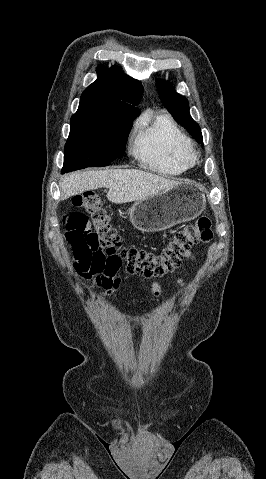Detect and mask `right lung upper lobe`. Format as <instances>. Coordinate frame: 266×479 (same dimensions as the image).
<instances>
[{"label":"right lung upper lobe","mask_w":266,"mask_h":479,"mask_svg":"<svg viewBox=\"0 0 266 479\" xmlns=\"http://www.w3.org/2000/svg\"><path fill=\"white\" fill-rule=\"evenodd\" d=\"M98 78L81 95L77 112L71 118H115L134 120L139 115L143 87L113 66L97 68Z\"/></svg>","instance_id":"right-lung-upper-lobe-1"}]
</instances>
